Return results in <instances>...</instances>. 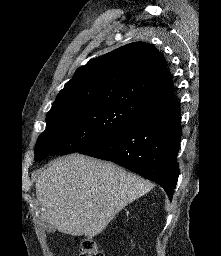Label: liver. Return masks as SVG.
I'll return each instance as SVG.
<instances>
[{"instance_id":"1","label":"liver","mask_w":221,"mask_h":256,"mask_svg":"<svg viewBox=\"0 0 221 256\" xmlns=\"http://www.w3.org/2000/svg\"><path fill=\"white\" fill-rule=\"evenodd\" d=\"M35 188L44 220L59 232L92 238L153 184L114 163L72 154L40 171Z\"/></svg>"}]
</instances>
